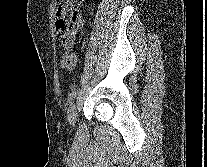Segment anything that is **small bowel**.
Masks as SVG:
<instances>
[{
	"mask_svg": "<svg viewBox=\"0 0 207 167\" xmlns=\"http://www.w3.org/2000/svg\"><path fill=\"white\" fill-rule=\"evenodd\" d=\"M83 26V22H81V27ZM65 52L62 56V66L68 70H72L75 68L77 63V55L73 51V45H69L66 42L62 41Z\"/></svg>",
	"mask_w": 207,
	"mask_h": 167,
	"instance_id": "1",
	"label": "small bowel"
}]
</instances>
